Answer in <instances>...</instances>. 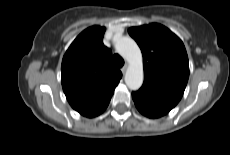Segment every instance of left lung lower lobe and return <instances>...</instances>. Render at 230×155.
I'll return each instance as SVG.
<instances>
[{
	"label": "left lung lower lobe",
	"instance_id": "left-lung-lower-lobe-1",
	"mask_svg": "<svg viewBox=\"0 0 230 155\" xmlns=\"http://www.w3.org/2000/svg\"><path fill=\"white\" fill-rule=\"evenodd\" d=\"M132 98L139 112L149 118L162 117L174 108L166 102L138 91L132 92Z\"/></svg>",
	"mask_w": 230,
	"mask_h": 155
}]
</instances>
